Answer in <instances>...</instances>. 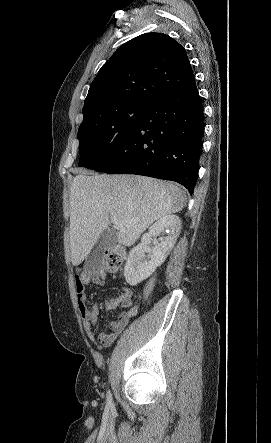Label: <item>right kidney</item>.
Wrapping results in <instances>:
<instances>
[{"instance_id": "obj_1", "label": "right kidney", "mask_w": 271, "mask_h": 443, "mask_svg": "<svg viewBox=\"0 0 271 443\" xmlns=\"http://www.w3.org/2000/svg\"><path fill=\"white\" fill-rule=\"evenodd\" d=\"M181 231V220L174 214H166L159 218L158 222L149 227L147 233H143L141 243L132 247L124 267V275L129 285H137L142 279L149 277L158 265L165 261ZM157 235H161L156 239ZM154 241L150 261H142L144 245Z\"/></svg>"}]
</instances>
